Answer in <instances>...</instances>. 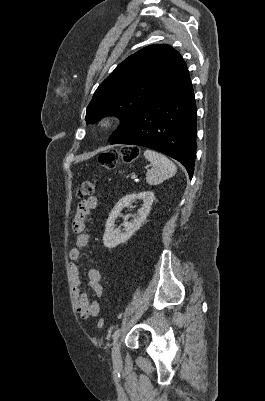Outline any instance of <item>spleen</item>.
Segmentation results:
<instances>
[{
    "label": "spleen",
    "mask_w": 265,
    "mask_h": 401,
    "mask_svg": "<svg viewBox=\"0 0 265 401\" xmlns=\"http://www.w3.org/2000/svg\"><path fill=\"white\" fill-rule=\"evenodd\" d=\"M144 156L148 158L152 166L146 174L148 184H152V186H154V184H160V182H163L166 178H170V176L176 174L177 168L174 162L169 160L164 154L146 148V150H144Z\"/></svg>",
    "instance_id": "1"
}]
</instances>
